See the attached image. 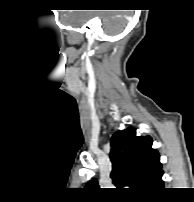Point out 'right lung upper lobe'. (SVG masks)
I'll return each instance as SVG.
<instances>
[{
    "label": "right lung upper lobe",
    "mask_w": 194,
    "mask_h": 202,
    "mask_svg": "<svg viewBox=\"0 0 194 202\" xmlns=\"http://www.w3.org/2000/svg\"><path fill=\"white\" fill-rule=\"evenodd\" d=\"M110 159L117 188L131 185L140 194H150L163 187L160 156L150 136L137 137L132 127L117 131L111 139ZM87 186L98 188V182L93 179Z\"/></svg>",
    "instance_id": "1"
}]
</instances>
